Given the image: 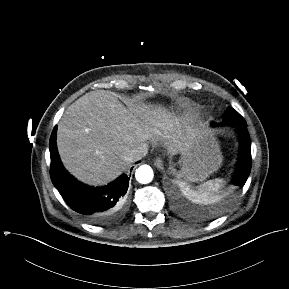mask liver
<instances>
[{"mask_svg":"<svg viewBox=\"0 0 289 289\" xmlns=\"http://www.w3.org/2000/svg\"><path fill=\"white\" fill-rule=\"evenodd\" d=\"M122 104L108 90L77 99L58 123L57 148L65 168L79 181L101 186L129 169L125 156L148 140L166 139L173 153L191 134L176 129L160 106ZM147 145V144H146Z\"/></svg>","mask_w":289,"mask_h":289,"instance_id":"6515ba94","label":"liver"}]
</instances>
